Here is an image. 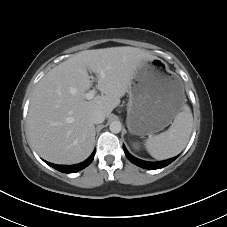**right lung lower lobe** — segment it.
<instances>
[{"label":"right lung lower lobe","mask_w":227,"mask_h":227,"mask_svg":"<svg viewBox=\"0 0 227 227\" xmlns=\"http://www.w3.org/2000/svg\"><path fill=\"white\" fill-rule=\"evenodd\" d=\"M94 155H95V150L93 151V153L90 155V157L85 160L82 163L79 164H75V165H70V166H66V165H55L49 162H46L48 165H50L51 167L55 168L56 170L60 171V172H64V173H74L77 171H80L82 169H84L85 167H87L94 159Z\"/></svg>","instance_id":"1"}]
</instances>
